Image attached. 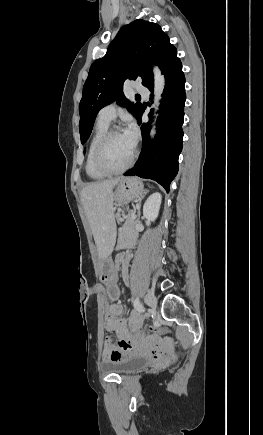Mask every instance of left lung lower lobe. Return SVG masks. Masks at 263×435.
Masks as SVG:
<instances>
[{
  "mask_svg": "<svg viewBox=\"0 0 263 435\" xmlns=\"http://www.w3.org/2000/svg\"><path fill=\"white\" fill-rule=\"evenodd\" d=\"M166 84L162 94L157 134L152 144L149 142L150 121L141 125L143 150L135 166L125 176L149 178L161 184L167 192L171 181L178 172V157L182 150L184 121L185 77L180 59L172 64L165 74ZM153 92V85L148 88ZM153 96L151 95V100ZM144 108L137 118L142 122Z\"/></svg>",
  "mask_w": 263,
  "mask_h": 435,
  "instance_id": "0a47b994",
  "label": "left lung lower lobe"
}]
</instances>
